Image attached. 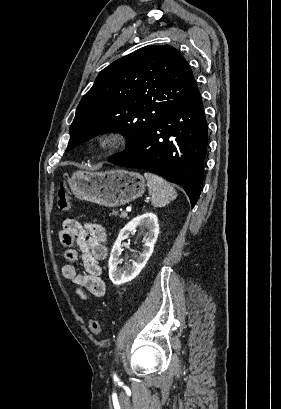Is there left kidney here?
I'll return each mask as SVG.
<instances>
[{
  "label": "left kidney",
  "instance_id": "1",
  "mask_svg": "<svg viewBox=\"0 0 281 409\" xmlns=\"http://www.w3.org/2000/svg\"><path fill=\"white\" fill-rule=\"evenodd\" d=\"M138 227H145L147 229L146 233V243L144 245L143 253H141L140 257L136 259V263L132 265V267H126L125 271L118 267L119 265V257L122 251L121 249V241H125L128 239L130 233L134 231V229H138ZM159 235V225L158 219L154 213H143V215H138L135 219H132L130 223H127L123 229H121L118 239H116L110 253V259L108 261L109 267V279H111L114 285H123V283H129L132 279H135L137 275H139L141 269H144L148 259H150L154 245L157 241V237Z\"/></svg>",
  "mask_w": 281,
  "mask_h": 409
}]
</instances>
